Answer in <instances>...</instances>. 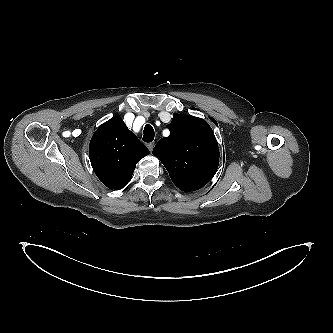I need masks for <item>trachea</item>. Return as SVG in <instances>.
Listing matches in <instances>:
<instances>
[{"instance_id": "3493384b", "label": "trachea", "mask_w": 333, "mask_h": 333, "mask_svg": "<svg viewBox=\"0 0 333 333\" xmlns=\"http://www.w3.org/2000/svg\"><path fill=\"white\" fill-rule=\"evenodd\" d=\"M154 139V129L151 125L147 124L144 127L143 140L145 142H151Z\"/></svg>"}]
</instances>
